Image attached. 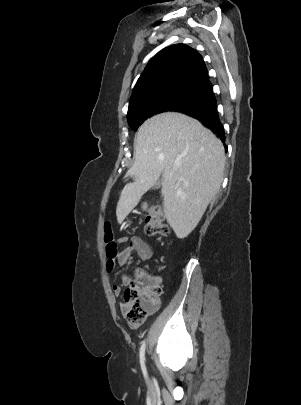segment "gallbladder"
Wrapping results in <instances>:
<instances>
[{"mask_svg": "<svg viewBox=\"0 0 301 405\" xmlns=\"http://www.w3.org/2000/svg\"><path fill=\"white\" fill-rule=\"evenodd\" d=\"M160 185H161V183H160V181H158V182L154 185V188H159Z\"/></svg>", "mask_w": 301, "mask_h": 405, "instance_id": "bac80fb5", "label": "gallbladder"}]
</instances>
